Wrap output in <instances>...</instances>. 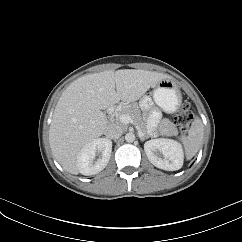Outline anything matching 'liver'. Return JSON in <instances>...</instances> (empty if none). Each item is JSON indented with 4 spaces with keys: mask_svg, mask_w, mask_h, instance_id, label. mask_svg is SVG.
Masks as SVG:
<instances>
[{
    "mask_svg": "<svg viewBox=\"0 0 242 242\" xmlns=\"http://www.w3.org/2000/svg\"><path fill=\"white\" fill-rule=\"evenodd\" d=\"M168 78L154 71L122 69L89 74L73 81L59 98L49 128L55 159L67 172L78 174L80 150L103 135L108 127L102 110L120 101L135 102L149 88Z\"/></svg>",
    "mask_w": 242,
    "mask_h": 242,
    "instance_id": "6515ba94",
    "label": "liver"
}]
</instances>
